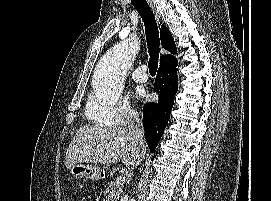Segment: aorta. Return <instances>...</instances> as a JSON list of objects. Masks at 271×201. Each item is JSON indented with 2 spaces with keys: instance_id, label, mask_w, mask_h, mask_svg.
<instances>
[{
  "instance_id": "762f6f07",
  "label": "aorta",
  "mask_w": 271,
  "mask_h": 201,
  "mask_svg": "<svg viewBox=\"0 0 271 201\" xmlns=\"http://www.w3.org/2000/svg\"><path fill=\"white\" fill-rule=\"evenodd\" d=\"M139 40L129 37L109 49L95 68L93 88L98 98L114 102L122 93L125 75L138 51Z\"/></svg>"
}]
</instances>
